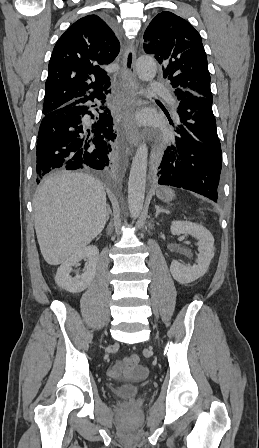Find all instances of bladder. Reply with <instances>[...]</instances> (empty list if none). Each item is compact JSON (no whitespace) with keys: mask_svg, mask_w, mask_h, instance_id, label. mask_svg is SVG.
I'll return each mask as SVG.
<instances>
[{"mask_svg":"<svg viewBox=\"0 0 259 448\" xmlns=\"http://www.w3.org/2000/svg\"><path fill=\"white\" fill-rule=\"evenodd\" d=\"M141 388L137 385L123 384L112 388V393L119 397H132L139 394Z\"/></svg>","mask_w":259,"mask_h":448,"instance_id":"obj_1","label":"bladder"}]
</instances>
